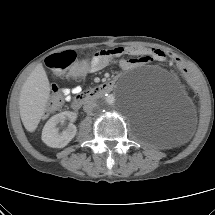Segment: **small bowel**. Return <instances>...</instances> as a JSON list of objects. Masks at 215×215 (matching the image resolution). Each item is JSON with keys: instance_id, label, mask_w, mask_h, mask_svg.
I'll return each instance as SVG.
<instances>
[{"instance_id": "small-bowel-1", "label": "small bowel", "mask_w": 215, "mask_h": 215, "mask_svg": "<svg viewBox=\"0 0 215 215\" xmlns=\"http://www.w3.org/2000/svg\"><path fill=\"white\" fill-rule=\"evenodd\" d=\"M124 55L132 56L130 59L119 61V67L122 70H131L137 66L150 62H162L166 60L165 52L158 48H146L142 46H120L97 52L91 59V67L86 69L87 72H97L113 63L117 58ZM81 91L80 86L72 88H62L65 99L69 101L71 96Z\"/></svg>"}]
</instances>
